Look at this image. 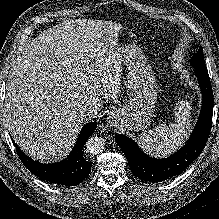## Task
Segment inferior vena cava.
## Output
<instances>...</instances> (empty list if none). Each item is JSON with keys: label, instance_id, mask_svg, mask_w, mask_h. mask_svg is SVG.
Here are the masks:
<instances>
[{"label": "inferior vena cava", "instance_id": "602c4592", "mask_svg": "<svg viewBox=\"0 0 219 219\" xmlns=\"http://www.w3.org/2000/svg\"><path fill=\"white\" fill-rule=\"evenodd\" d=\"M80 116L83 119H91L97 116V111L94 109L83 107L80 109Z\"/></svg>", "mask_w": 219, "mask_h": 219}]
</instances>
